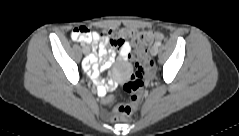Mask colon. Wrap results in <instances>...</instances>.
Segmentation results:
<instances>
[{
	"mask_svg": "<svg viewBox=\"0 0 239 136\" xmlns=\"http://www.w3.org/2000/svg\"><path fill=\"white\" fill-rule=\"evenodd\" d=\"M90 34L91 31L87 27L80 26L74 29L73 38L75 40H85L90 38ZM98 34L102 37H107L108 44L111 47H119L124 42L121 33L116 30L103 31ZM160 37L161 34L157 31H134L132 33L131 41L135 45L132 53V58L135 61V70L124 84V90L129 93L130 98L128 103L119 104L113 108L112 119L114 121H126L139 108L145 78L153 68V62L148 56L147 47Z\"/></svg>",
	"mask_w": 239,
	"mask_h": 136,
	"instance_id": "1",
	"label": "colon"
}]
</instances>
